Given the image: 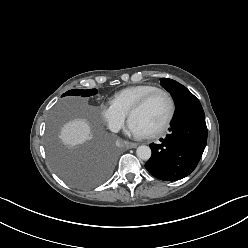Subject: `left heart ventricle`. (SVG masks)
I'll return each instance as SVG.
<instances>
[{
  "mask_svg": "<svg viewBox=\"0 0 248 248\" xmlns=\"http://www.w3.org/2000/svg\"><path fill=\"white\" fill-rule=\"evenodd\" d=\"M169 111L168 101L163 95H156L146 106L131 116L146 134L156 130L166 119Z\"/></svg>",
  "mask_w": 248,
  "mask_h": 248,
  "instance_id": "b2bd125f",
  "label": "left heart ventricle"
}]
</instances>
